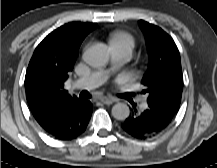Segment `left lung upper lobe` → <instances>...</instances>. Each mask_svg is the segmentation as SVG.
I'll return each instance as SVG.
<instances>
[{"label":"left lung upper lobe","mask_w":217,"mask_h":168,"mask_svg":"<svg viewBox=\"0 0 217 168\" xmlns=\"http://www.w3.org/2000/svg\"><path fill=\"white\" fill-rule=\"evenodd\" d=\"M149 55V68L142 79L148 103L176 113L180 106L183 76L178 48L173 39L158 26L140 20Z\"/></svg>","instance_id":"1"}]
</instances>
